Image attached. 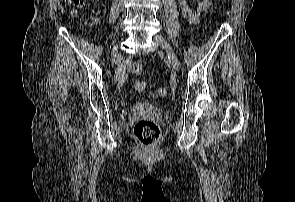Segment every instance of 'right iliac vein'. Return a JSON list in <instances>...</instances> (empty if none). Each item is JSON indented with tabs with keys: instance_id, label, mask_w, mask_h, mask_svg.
<instances>
[{
	"instance_id": "right-iliac-vein-1",
	"label": "right iliac vein",
	"mask_w": 295,
	"mask_h": 202,
	"mask_svg": "<svg viewBox=\"0 0 295 202\" xmlns=\"http://www.w3.org/2000/svg\"><path fill=\"white\" fill-rule=\"evenodd\" d=\"M118 53V46H115L113 49V54L116 55Z\"/></svg>"
}]
</instances>
